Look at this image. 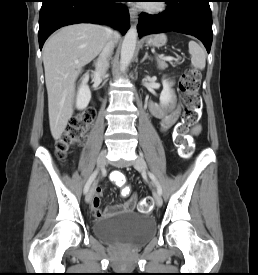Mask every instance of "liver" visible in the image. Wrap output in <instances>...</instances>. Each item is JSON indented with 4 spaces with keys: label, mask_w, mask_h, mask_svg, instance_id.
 I'll return each instance as SVG.
<instances>
[{
    "label": "liver",
    "mask_w": 258,
    "mask_h": 275,
    "mask_svg": "<svg viewBox=\"0 0 258 275\" xmlns=\"http://www.w3.org/2000/svg\"><path fill=\"white\" fill-rule=\"evenodd\" d=\"M114 37L117 40L119 34ZM107 38L104 27L81 23L63 27L46 41L43 63L50 131L55 140L72 117L75 82L82 68L101 52Z\"/></svg>",
    "instance_id": "liver-1"
}]
</instances>
